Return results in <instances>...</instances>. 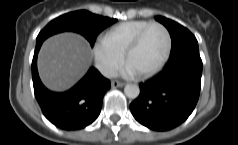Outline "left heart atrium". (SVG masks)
<instances>
[{
  "label": "left heart atrium",
  "instance_id": "1",
  "mask_svg": "<svg viewBox=\"0 0 238 145\" xmlns=\"http://www.w3.org/2000/svg\"><path fill=\"white\" fill-rule=\"evenodd\" d=\"M121 74L125 77H134L137 76L139 73L132 64L126 62L121 70Z\"/></svg>",
  "mask_w": 238,
  "mask_h": 145
}]
</instances>
